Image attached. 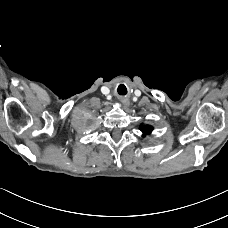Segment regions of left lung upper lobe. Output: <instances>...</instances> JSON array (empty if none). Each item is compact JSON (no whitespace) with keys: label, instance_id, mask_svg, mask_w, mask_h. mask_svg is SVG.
Wrapping results in <instances>:
<instances>
[{"label":"left lung upper lobe","instance_id":"1","mask_svg":"<svg viewBox=\"0 0 228 228\" xmlns=\"http://www.w3.org/2000/svg\"><path fill=\"white\" fill-rule=\"evenodd\" d=\"M140 130L143 132V137H145L147 134L151 133L153 127L149 125H144L140 127Z\"/></svg>","mask_w":228,"mask_h":228}]
</instances>
